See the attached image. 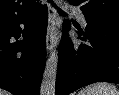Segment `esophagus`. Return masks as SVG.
I'll return each instance as SVG.
<instances>
[{
	"label": "esophagus",
	"instance_id": "34e87169",
	"mask_svg": "<svg viewBox=\"0 0 119 95\" xmlns=\"http://www.w3.org/2000/svg\"><path fill=\"white\" fill-rule=\"evenodd\" d=\"M49 23L46 35V47L51 51L57 44L56 30L59 24L58 14L51 3H48Z\"/></svg>",
	"mask_w": 119,
	"mask_h": 95
}]
</instances>
